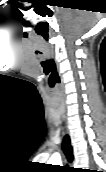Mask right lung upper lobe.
<instances>
[{"instance_id":"right-lung-upper-lobe-1","label":"right lung upper lobe","mask_w":106,"mask_h":172,"mask_svg":"<svg viewBox=\"0 0 106 172\" xmlns=\"http://www.w3.org/2000/svg\"><path fill=\"white\" fill-rule=\"evenodd\" d=\"M63 149L68 157V160L71 162L73 160V149L70 145V138L68 135L64 138Z\"/></svg>"}]
</instances>
